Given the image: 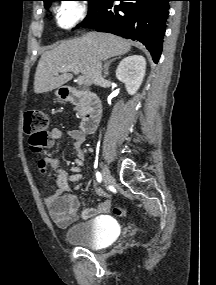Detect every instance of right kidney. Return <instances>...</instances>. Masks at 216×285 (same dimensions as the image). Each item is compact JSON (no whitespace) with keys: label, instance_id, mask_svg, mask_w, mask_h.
<instances>
[{"label":"right kidney","instance_id":"right-kidney-1","mask_svg":"<svg viewBox=\"0 0 216 285\" xmlns=\"http://www.w3.org/2000/svg\"><path fill=\"white\" fill-rule=\"evenodd\" d=\"M146 69V60L141 55L124 58L117 67L116 77L126 86L129 95H134L140 88Z\"/></svg>","mask_w":216,"mask_h":285}]
</instances>
